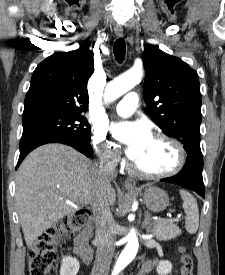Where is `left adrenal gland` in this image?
I'll return each mask as SVG.
<instances>
[{
  "mask_svg": "<svg viewBox=\"0 0 225 275\" xmlns=\"http://www.w3.org/2000/svg\"><path fill=\"white\" fill-rule=\"evenodd\" d=\"M142 227L145 228L148 232L151 231V218L148 211L145 212V219L142 224Z\"/></svg>",
  "mask_w": 225,
  "mask_h": 275,
  "instance_id": "obj_1",
  "label": "left adrenal gland"
}]
</instances>
